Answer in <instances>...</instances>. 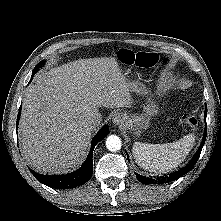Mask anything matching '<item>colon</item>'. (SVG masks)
Wrapping results in <instances>:
<instances>
[{"label": "colon", "mask_w": 221, "mask_h": 221, "mask_svg": "<svg viewBox=\"0 0 221 221\" xmlns=\"http://www.w3.org/2000/svg\"><path fill=\"white\" fill-rule=\"evenodd\" d=\"M118 57L120 61L125 64L136 65L141 68H150L156 65L159 61V57L154 53H134L126 49L120 50L118 53ZM184 122L188 127H195L197 124V119L193 115H187L184 118Z\"/></svg>", "instance_id": "1"}]
</instances>
